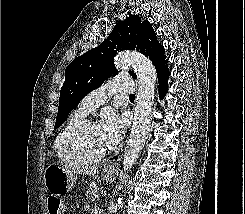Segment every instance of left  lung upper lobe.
<instances>
[{
	"instance_id": "5c2ea615",
	"label": "left lung upper lobe",
	"mask_w": 245,
	"mask_h": 214,
	"mask_svg": "<svg viewBox=\"0 0 245 214\" xmlns=\"http://www.w3.org/2000/svg\"><path fill=\"white\" fill-rule=\"evenodd\" d=\"M123 50H137L149 57L157 75L167 67L164 48L158 42L150 23L147 20L142 21L139 15L130 14L124 21L115 25L108 39L67 66L54 129L63 124L84 96L100 87L111 74L118 73L113 58L117 52ZM130 75L137 78L133 71H130Z\"/></svg>"
}]
</instances>
